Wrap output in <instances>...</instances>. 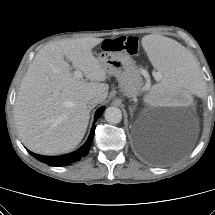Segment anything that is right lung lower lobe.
<instances>
[{
  "mask_svg": "<svg viewBox=\"0 0 215 215\" xmlns=\"http://www.w3.org/2000/svg\"><path fill=\"white\" fill-rule=\"evenodd\" d=\"M103 111H104V107H101L100 109L97 110V112L95 114L94 123L96 122V120L98 118H100ZM95 128H96V126L93 125L87 142L83 146H81L78 150H76L75 152H72V153H69L66 155H62V156H42V155H38V154H35L30 151H28V152L33 157H35L37 160H39L43 163H47L50 166H64V165L71 164L73 162H77L78 160H80L83 156H85L88 153V151L90 149V145L92 144V141H93Z\"/></svg>",
  "mask_w": 215,
  "mask_h": 215,
  "instance_id": "98d812e1",
  "label": "right lung lower lobe"
}]
</instances>
